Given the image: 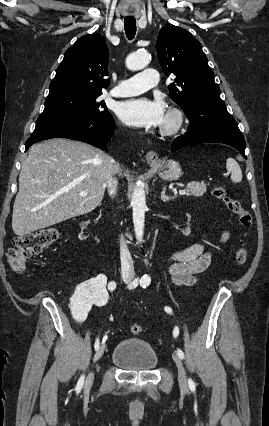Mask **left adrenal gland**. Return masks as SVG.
Masks as SVG:
<instances>
[{"instance_id":"left-adrenal-gland-1","label":"left adrenal gland","mask_w":269,"mask_h":426,"mask_svg":"<svg viewBox=\"0 0 269 426\" xmlns=\"http://www.w3.org/2000/svg\"><path fill=\"white\" fill-rule=\"evenodd\" d=\"M165 192H166V187H163L162 192H161V200H162L163 202H168V201H170V200H173V199H174V197L167 196V195L165 194Z\"/></svg>"}]
</instances>
